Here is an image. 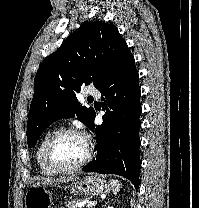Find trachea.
Masks as SVG:
<instances>
[{
    "mask_svg": "<svg viewBox=\"0 0 199 208\" xmlns=\"http://www.w3.org/2000/svg\"><path fill=\"white\" fill-rule=\"evenodd\" d=\"M88 101H90V102L93 101V98H89Z\"/></svg>",
    "mask_w": 199,
    "mask_h": 208,
    "instance_id": "obj_1",
    "label": "trachea"
}]
</instances>
